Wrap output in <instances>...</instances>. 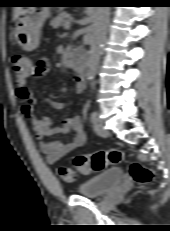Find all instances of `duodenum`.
I'll use <instances>...</instances> for the list:
<instances>
[{"instance_id":"410a0bca","label":"duodenum","mask_w":170,"mask_h":231,"mask_svg":"<svg viewBox=\"0 0 170 231\" xmlns=\"http://www.w3.org/2000/svg\"><path fill=\"white\" fill-rule=\"evenodd\" d=\"M67 64L76 69L80 76L84 75V58L81 52H74L68 56Z\"/></svg>"}]
</instances>
